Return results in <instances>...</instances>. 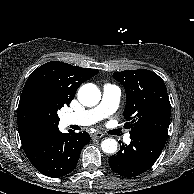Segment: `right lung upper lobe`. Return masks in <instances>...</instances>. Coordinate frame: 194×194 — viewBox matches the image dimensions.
<instances>
[{
  "mask_svg": "<svg viewBox=\"0 0 194 194\" xmlns=\"http://www.w3.org/2000/svg\"><path fill=\"white\" fill-rule=\"evenodd\" d=\"M99 70L51 61L28 77L18 105L17 121L22 147L58 130L57 110L68 105L79 86Z\"/></svg>",
  "mask_w": 194,
  "mask_h": 194,
  "instance_id": "cb5924a9",
  "label": "right lung upper lobe"
}]
</instances>
